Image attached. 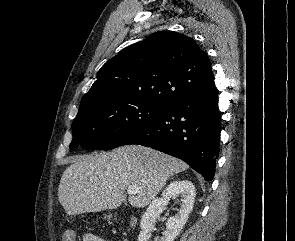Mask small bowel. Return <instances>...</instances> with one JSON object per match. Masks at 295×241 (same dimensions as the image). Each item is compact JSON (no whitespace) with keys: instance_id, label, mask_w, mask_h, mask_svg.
<instances>
[{"instance_id":"1","label":"small bowel","mask_w":295,"mask_h":241,"mask_svg":"<svg viewBox=\"0 0 295 241\" xmlns=\"http://www.w3.org/2000/svg\"><path fill=\"white\" fill-rule=\"evenodd\" d=\"M83 241H104V240H101V239H99V238H97V237H95V236H93L91 234H86L84 236Z\"/></svg>"}]
</instances>
